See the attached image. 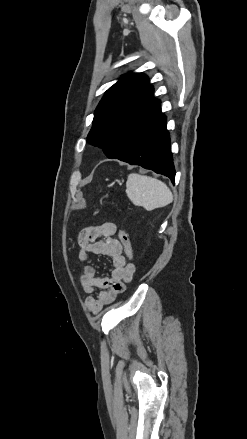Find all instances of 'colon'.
I'll return each instance as SVG.
<instances>
[{
  "label": "colon",
  "instance_id": "1",
  "mask_svg": "<svg viewBox=\"0 0 247 439\" xmlns=\"http://www.w3.org/2000/svg\"><path fill=\"white\" fill-rule=\"evenodd\" d=\"M118 233V238L120 243L123 246V251L127 257V259L130 261L133 257V250H132V245L129 239V236L127 234V232H125L124 230H115Z\"/></svg>",
  "mask_w": 247,
  "mask_h": 439
}]
</instances>
